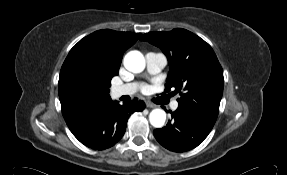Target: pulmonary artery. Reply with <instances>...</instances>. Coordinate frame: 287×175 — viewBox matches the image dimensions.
<instances>
[{
    "label": "pulmonary artery",
    "mask_w": 287,
    "mask_h": 175,
    "mask_svg": "<svg viewBox=\"0 0 287 175\" xmlns=\"http://www.w3.org/2000/svg\"><path fill=\"white\" fill-rule=\"evenodd\" d=\"M147 71L150 74L159 73L167 64V58L163 53L160 52H148L145 55ZM139 89V84L136 82L115 86L113 88L114 97H121L124 95H133ZM173 110L178 108V102L174 101L171 105Z\"/></svg>",
    "instance_id": "pulmonary-artery-1"
}]
</instances>
